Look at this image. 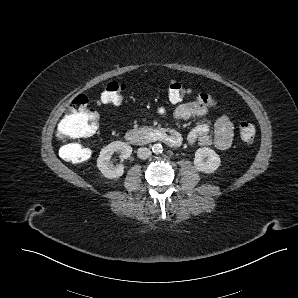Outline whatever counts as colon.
Segmentation results:
<instances>
[{
    "mask_svg": "<svg viewBox=\"0 0 298 298\" xmlns=\"http://www.w3.org/2000/svg\"><path fill=\"white\" fill-rule=\"evenodd\" d=\"M126 85L120 81L109 82L100 96V102L104 104H120L124 99ZM190 88L178 81H171L167 86V96L172 103L181 102L189 93ZM99 119L95 111L89 107L88 98L84 95L75 97L68 107L63 118L56 128L57 136L62 140H75L90 136L98 128ZM241 139L252 144L255 140L256 130L252 123L243 121L239 125ZM69 145V144H67ZM78 149L81 159L89 156V151L85 147L68 148L67 151Z\"/></svg>",
    "mask_w": 298,
    "mask_h": 298,
    "instance_id": "obj_1",
    "label": "colon"
}]
</instances>
